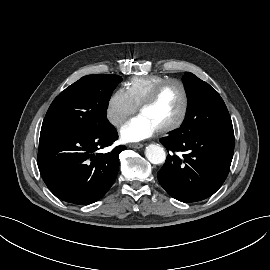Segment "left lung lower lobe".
<instances>
[{"mask_svg":"<svg viewBox=\"0 0 270 270\" xmlns=\"http://www.w3.org/2000/svg\"><path fill=\"white\" fill-rule=\"evenodd\" d=\"M160 142L173 152H187L182 159L168 154L158 172L159 183L173 198L186 203L204 200L227 178L234 151L233 131L189 130L182 136L172 131Z\"/></svg>","mask_w":270,"mask_h":270,"instance_id":"left-lung-lower-lobe-1","label":"left lung lower lobe"}]
</instances>
